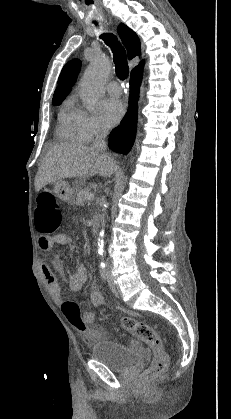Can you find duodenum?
<instances>
[{
    "instance_id": "1",
    "label": "duodenum",
    "mask_w": 231,
    "mask_h": 419,
    "mask_svg": "<svg viewBox=\"0 0 231 419\" xmlns=\"http://www.w3.org/2000/svg\"><path fill=\"white\" fill-rule=\"evenodd\" d=\"M100 228V219L97 215H94L91 219V229L93 233H97Z\"/></svg>"
}]
</instances>
